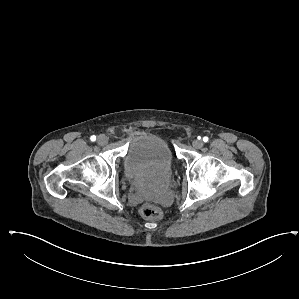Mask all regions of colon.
I'll list each match as a JSON object with an SVG mask.
<instances>
[{"instance_id":"colon-1","label":"colon","mask_w":299,"mask_h":299,"mask_svg":"<svg viewBox=\"0 0 299 299\" xmlns=\"http://www.w3.org/2000/svg\"><path fill=\"white\" fill-rule=\"evenodd\" d=\"M139 213L142 218L150 221L160 220L163 217V212L153 204L144 203L139 208Z\"/></svg>"}]
</instances>
